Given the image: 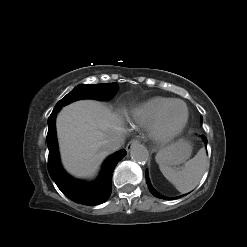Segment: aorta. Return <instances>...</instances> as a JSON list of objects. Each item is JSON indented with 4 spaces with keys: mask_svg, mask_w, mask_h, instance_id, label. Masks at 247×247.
I'll return each mask as SVG.
<instances>
[{
    "mask_svg": "<svg viewBox=\"0 0 247 247\" xmlns=\"http://www.w3.org/2000/svg\"><path fill=\"white\" fill-rule=\"evenodd\" d=\"M131 159L139 164H144L148 160V152L145 147L140 144H136L130 151Z\"/></svg>",
    "mask_w": 247,
    "mask_h": 247,
    "instance_id": "1",
    "label": "aorta"
}]
</instances>
